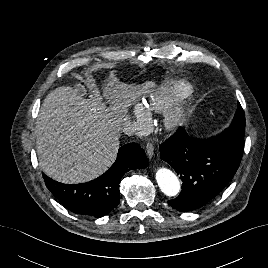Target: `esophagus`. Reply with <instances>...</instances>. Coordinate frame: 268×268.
Instances as JSON below:
<instances>
[{"mask_svg": "<svg viewBox=\"0 0 268 268\" xmlns=\"http://www.w3.org/2000/svg\"><path fill=\"white\" fill-rule=\"evenodd\" d=\"M146 153L149 158H151L154 154V146L150 142L146 144Z\"/></svg>", "mask_w": 268, "mask_h": 268, "instance_id": "34e87169", "label": "esophagus"}]
</instances>
